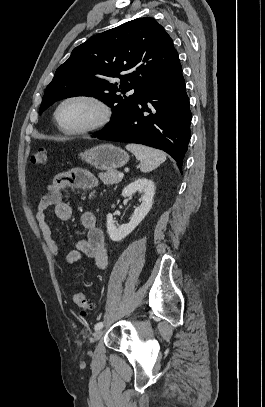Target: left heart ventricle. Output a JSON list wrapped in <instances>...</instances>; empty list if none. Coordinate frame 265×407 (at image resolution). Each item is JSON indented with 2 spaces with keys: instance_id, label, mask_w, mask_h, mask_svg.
I'll return each instance as SVG.
<instances>
[{
  "instance_id": "b2bd125f",
  "label": "left heart ventricle",
  "mask_w": 265,
  "mask_h": 407,
  "mask_svg": "<svg viewBox=\"0 0 265 407\" xmlns=\"http://www.w3.org/2000/svg\"><path fill=\"white\" fill-rule=\"evenodd\" d=\"M99 112L93 105L72 101L62 107L59 119L66 127L78 128L94 122L98 118Z\"/></svg>"
}]
</instances>
